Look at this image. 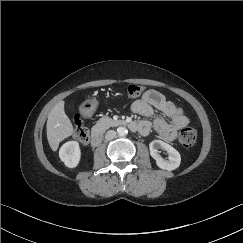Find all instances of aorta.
I'll return each instance as SVG.
<instances>
[{
  "mask_svg": "<svg viewBox=\"0 0 243 243\" xmlns=\"http://www.w3.org/2000/svg\"><path fill=\"white\" fill-rule=\"evenodd\" d=\"M128 133V130L125 127H118L117 128V134L119 136H125Z\"/></svg>",
  "mask_w": 243,
  "mask_h": 243,
  "instance_id": "aorta-1",
  "label": "aorta"
}]
</instances>
